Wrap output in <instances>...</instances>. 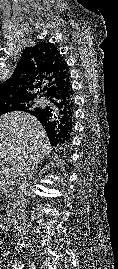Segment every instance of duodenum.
<instances>
[{
	"label": "duodenum",
	"mask_w": 118,
	"mask_h": 269,
	"mask_svg": "<svg viewBox=\"0 0 118 269\" xmlns=\"http://www.w3.org/2000/svg\"><path fill=\"white\" fill-rule=\"evenodd\" d=\"M14 214H15V207L14 206H11L0 217H1V220L5 224H9V223L12 222L13 217H14Z\"/></svg>",
	"instance_id": "1"
}]
</instances>
